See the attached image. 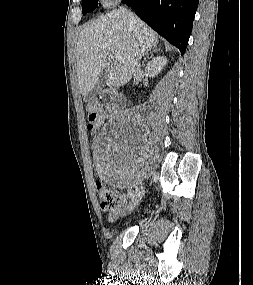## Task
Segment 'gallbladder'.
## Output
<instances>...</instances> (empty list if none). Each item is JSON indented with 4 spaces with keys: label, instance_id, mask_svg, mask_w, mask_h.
<instances>
[{
    "label": "gallbladder",
    "instance_id": "obj_1",
    "mask_svg": "<svg viewBox=\"0 0 253 285\" xmlns=\"http://www.w3.org/2000/svg\"><path fill=\"white\" fill-rule=\"evenodd\" d=\"M107 76H108V69L106 68L102 72V74H101L98 82L94 86V88L88 93V97L89 98H93L95 95H97L102 90V87L104 85V81H105Z\"/></svg>",
    "mask_w": 253,
    "mask_h": 285
}]
</instances>
